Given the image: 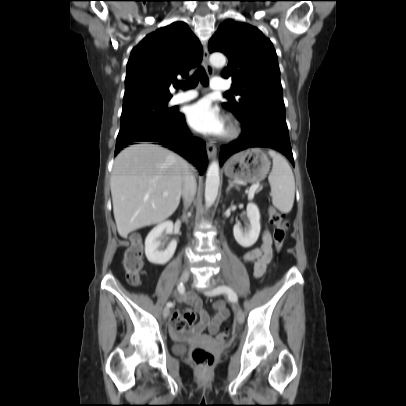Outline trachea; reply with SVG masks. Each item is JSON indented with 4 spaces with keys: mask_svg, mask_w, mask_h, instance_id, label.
<instances>
[{
    "mask_svg": "<svg viewBox=\"0 0 406 406\" xmlns=\"http://www.w3.org/2000/svg\"><path fill=\"white\" fill-rule=\"evenodd\" d=\"M199 81L205 87L209 83L208 76H207V74H206L203 67H199L195 71V73L188 80H186L185 82H181V83L177 84L176 87L177 88H182L184 90L192 89V88H195L197 86ZM225 94L227 95L228 93H225Z\"/></svg>",
    "mask_w": 406,
    "mask_h": 406,
    "instance_id": "obj_1",
    "label": "trachea"
}]
</instances>
